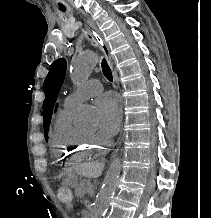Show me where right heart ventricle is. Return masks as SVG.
Here are the masks:
<instances>
[{"label": "right heart ventricle", "mask_w": 211, "mask_h": 218, "mask_svg": "<svg viewBox=\"0 0 211 218\" xmlns=\"http://www.w3.org/2000/svg\"><path fill=\"white\" fill-rule=\"evenodd\" d=\"M75 108H65L59 111L53 126V136L57 143L52 144L55 152V165H78V161L87 160L105 152V143L98 139H89L73 124Z\"/></svg>", "instance_id": "right-heart-ventricle-1"}]
</instances>
